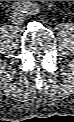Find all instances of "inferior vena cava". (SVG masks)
I'll return each mask as SVG.
<instances>
[{
  "label": "inferior vena cava",
  "instance_id": "inferior-vena-cava-1",
  "mask_svg": "<svg viewBox=\"0 0 74 122\" xmlns=\"http://www.w3.org/2000/svg\"><path fill=\"white\" fill-rule=\"evenodd\" d=\"M12 21H13L15 24H20V23H22L23 18L21 17L20 19L17 20L16 17L13 16V17H12Z\"/></svg>",
  "mask_w": 74,
  "mask_h": 122
}]
</instances>
